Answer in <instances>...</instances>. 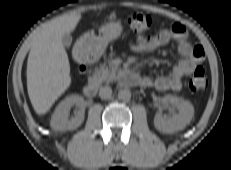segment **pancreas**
<instances>
[{"label":"pancreas","instance_id":"pancreas-1","mask_svg":"<svg viewBox=\"0 0 231 170\" xmlns=\"http://www.w3.org/2000/svg\"><path fill=\"white\" fill-rule=\"evenodd\" d=\"M94 78L98 81L111 82L117 78V67L109 64H102L94 73Z\"/></svg>","mask_w":231,"mask_h":170}]
</instances>
